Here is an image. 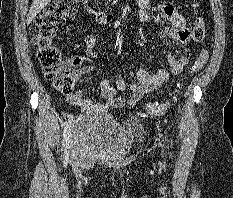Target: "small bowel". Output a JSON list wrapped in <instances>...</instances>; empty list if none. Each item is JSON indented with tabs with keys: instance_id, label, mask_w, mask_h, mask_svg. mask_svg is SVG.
Here are the masks:
<instances>
[{
	"instance_id": "c3829d8e",
	"label": "small bowel",
	"mask_w": 233,
	"mask_h": 198,
	"mask_svg": "<svg viewBox=\"0 0 233 198\" xmlns=\"http://www.w3.org/2000/svg\"><path fill=\"white\" fill-rule=\"evenodd\" d=\"M150 0H137L140 8L139 17L142 22L149 20L147 6ZM161 17L168 23L169 27L162 33L159 38L169 37L173 41L182 45L181 56L177 58L175 54H167L168 69L159 70L157 73H150L146 70H139L137 81L130 87V96L123 98L118 93H123L127 90V85L122 78L113 80L105 79L100 83L101 96L104 102H94L93 100L84 98L81 92L66 95L67 101L82 110H96L98 112H106L112 107L129 106L137 104L146 94L162 87L170 78L171 75L179 74L189 61V46L188 42L192 38L191 30L187 26L184 17L177 12L170 4L160 6ZM86 51L89 57L96 58L95 38L89 35L85 39ZM73 64L79 66V74L84 76L93 71V65H82V59L77 58Z\"/></svg>"
}]
</instances>
